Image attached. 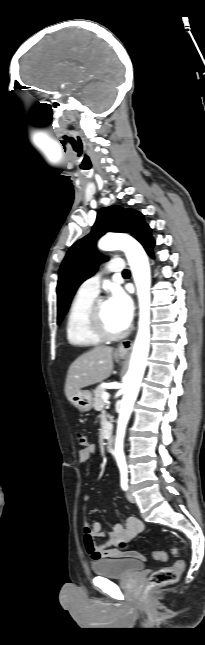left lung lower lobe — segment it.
Returning a JSON list of instances; mask_svg holds the SVG:
<instances>
[{
    "instance_id": "left-lung-lower-lobe-1",
    "label": "left lung lower lobe",
    "mask_w": 205,
    "mask_h": 645,
    "mask_svg": "<svg viewBox=\"0 0 205 645\" xmlns=\"http://www.w3.org/2000/svg\"><path fill=\"white\" fill-rule=\"evenodd\" d=\"M140 243L143 245V247L145 248V250L147 251V253L152 257L153 255H152V253H151V250H152V247H153V246H154V244H155V241L153 240V238H152V236H151V229H149V230L147 231V233H146V234L144 235V237L141 239Z\"/></svg>"
}]
</instances>
